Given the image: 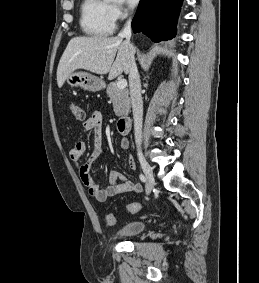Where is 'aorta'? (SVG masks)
<instances>
[{
  "label": "aorta",
  "instance_id": "obj_1",
  "mask_svg": "<svg viewBox=\"0 0 259 283\" xmlns=\"http://www.w3.org/2000/svg\"><path fill=\"white\" fill-rule=\"evenodd\" d=\"M105 2H123L124 0H104Z\"/></svg>",
  "mask_w": 259,
  "mask_h": 283
}]
</instances>
